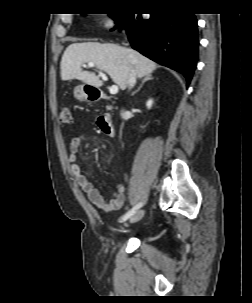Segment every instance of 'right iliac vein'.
<instances>
[{
	"mask_svg": "<svg viewBox=\"0 0 252 303\" xmlns=\"http://www.w3.org/2000/svg\"><path fill=\"white\" fill-rule=\"evenodd\" d=\"M144 216V211L143 210H139L137 211L135 214H133L129 221L130 223H136L138 222L142 217Z\"/></svg>",
	"mask_w": 252,
	"mask_h": 303,
	"instance_id": "right-iliac-vein-1",
	"label": "right iliac vein"
}]
</instances>
